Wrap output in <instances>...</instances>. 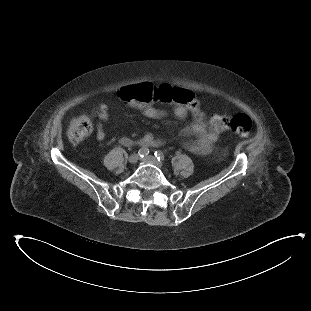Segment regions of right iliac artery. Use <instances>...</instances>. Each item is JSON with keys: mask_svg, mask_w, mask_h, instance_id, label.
<instances>
[{"mask_svg": "<svg viewBox=\"0 0 311 311\" xmlns=\"http://www.w3.org/2000/svg\"><path fill=\"white\" fill-rule=\"evenodd\" d=\"M149 152H150V151H149L148 148L142 147V148L139 149L138 155H139L140 157H145V156H147V155L149 154Z\"/></svg>", "mask_w": 311, "mask_h": 311, "instance_id": "right-iliac-artery-1", "label": "right iliac artery"}]
</instances>
